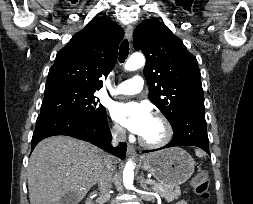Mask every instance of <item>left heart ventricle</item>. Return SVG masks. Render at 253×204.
Returning a JSON list of instances; mask_svg holds the SVG:
<instances>
[{"label":"left heart ventricle","mask_w":253,"mask_h":204,"mask_svg":"<svg viewBox=\"0 0 253 204\" xmlns=\"http://www.w3.org/2000/svg\"><path fill=\"white\" fill-rule=\"evenodd\" d=\"M163 135H164V128L162 124L155 118H152V120L149 122L146 129L140 136L147 141L155 142L160 140L163 137Z\"/></svg>","instance_id":"obj_1"}]
</instances>
